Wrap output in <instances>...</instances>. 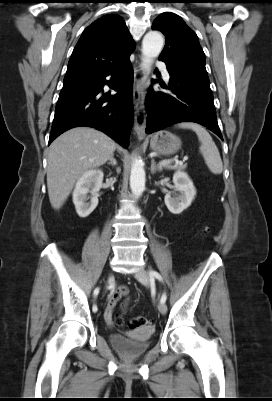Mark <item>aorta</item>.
<instances>
[{"label": "aorta", "mask_w": 272, "mask_h": 401, "mask_svg": "<svg viewBox=\"0 0 272 401\" xmlns=\"http://www.w3.org/2000/svg\"><path fill=\"white\" fill-rule=\"evenodd\" d=\"M164 46V38L157 31H149L142 41L143 69L148 71L153 59L159 56ZM145 170L141 160L134 159L130 174V188L135 196H141L145 190Z\"/></svg>", "instance_id": "obj_1"}]
</instances>
